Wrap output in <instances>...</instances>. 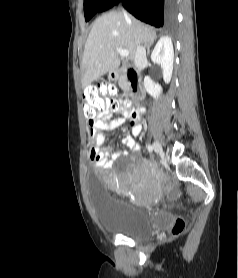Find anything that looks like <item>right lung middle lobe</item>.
<instances>
[{
  "label": "right lung middle lobe",
  "instance_id": "1",
  "mask_svg": "<svg viewBox=\"0 0 238 278\" xmlns=\"http://www.w3.org/2000/svg\"><path fill=\"white\" fill-rule=\"evenodd\" d=\"M105 0H85L84 15L85 20L89 21L98 11Z\"/></svg>",
  "mask_w": 238,
  "mask_h": 278
}]
</instances>
